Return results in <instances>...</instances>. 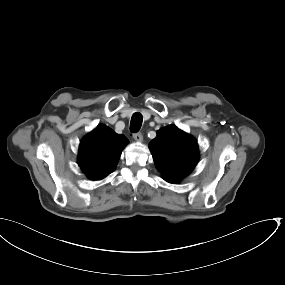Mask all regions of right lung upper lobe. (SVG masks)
<instances>
[{"mask_svg": "<svg viewBox=\"0 0 285 285\" xmlns=\"http://www.w3.org/2000/svg\"><path fill=\"white\" fill-rule=\"evenodd\" d=\"M128 139L99 124L80 143L78 164L89 179L100 180L110 174Z\"/></svg>", "mask_w": 285, "mask_h": 285, "instance_id": "cb5924a9", "label": "right lung upper lobe"}]
</instances>
